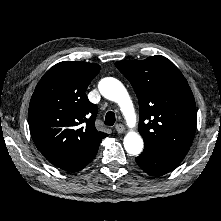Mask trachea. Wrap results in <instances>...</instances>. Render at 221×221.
I'll list each match as a JSON object with an SVG mask.
<instances>
[{
	"label": "trachea",
	"instance_id": "1",
	"mask_svg": "<svg viewBox=\"0 0 221 221\" xmlns=\"http://www.w3.org/2000/svg\"><path fill=\"white\" fill-rule=\"evenodd\" d=\"M115 120H116V117H115L114 112L109 111L106 114L104 123H105V125L112 126V125H114Z\"/></svg>",
	"mask_w": 221,
	"mask_h": 221
}]
</instances>
